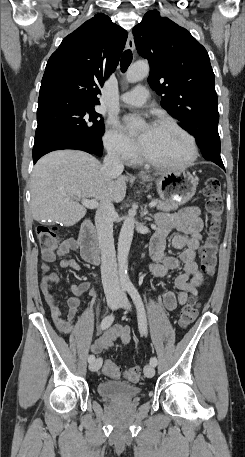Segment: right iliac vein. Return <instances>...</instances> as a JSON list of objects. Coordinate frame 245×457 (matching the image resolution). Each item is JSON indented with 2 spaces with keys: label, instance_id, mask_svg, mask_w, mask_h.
Wrapping results in <instances>:
<instances>
[{
  "label": "right iliac vein",
  "instance_id": "63e3f726",
  "mask_svg": "<svg viewBox=\"0 0 245 457\" xmlns=\"http://www.w3.org/2000/svg\"><path fill=\"white\" fill-rule=\"evenodd\" d=\"M119 302V298L116 297V296H111L109 299H108V306L110 309H114L117 304ZM102 359L101 358H97L96 360H94L93 362L90 363L89 365V369L91 371H98L102 365Z\"/></svg>",
  "mask_w": 245,
  "mask_h": 457
}]
</instances>
